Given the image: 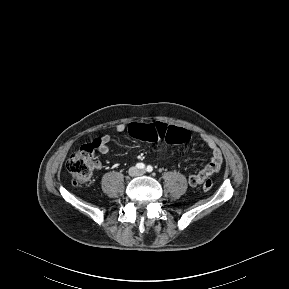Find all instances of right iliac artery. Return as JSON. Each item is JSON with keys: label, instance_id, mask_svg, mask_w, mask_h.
<instances>
[{"label": "right iliac artery", "instance_id": "1", "mask_svg": "<svg viewBox=\"0 0 289 289\" xmlns=\"http://www.w3.org/2000/svg\"><path fill=\"white\" fill-rule=\"evenodd\" d=\"M136 167H137L138 169H144V168H145V165H144L143 163H137V164H136Z\"/></svg>", "mask_w": 289, "mask_h": 289}]
</instances>
